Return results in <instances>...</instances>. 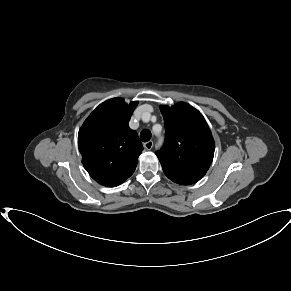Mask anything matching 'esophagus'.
Masks as SVG:
<instances>
[{"label":"esophagus","instance_id":"34e87169","mask_svg":"<svg viewBox=\"0 0 291 291\" xmlns=\"http://www.w3.org/2000/svg\"><path fill=\"white\" fill-rule=\"evenodd\" d=\"M143 145H144L145 149L151 150L153 147V141H148V142L144 143Z\"/></svg>","mask_w":291,"mask_h":291}]
</instances>
